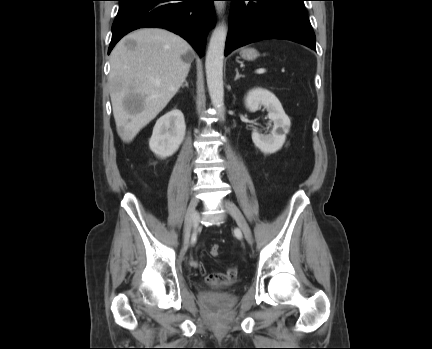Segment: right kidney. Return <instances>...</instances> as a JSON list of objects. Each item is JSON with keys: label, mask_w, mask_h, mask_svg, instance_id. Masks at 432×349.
I'll return each instance as SVG.
<instances>
[{"label": "right kidney", "mask_w": 432, "mask_h": 349, "mask_svg": "<svg viewBox=\"0 0 432 349\" xmlns=\"http://www.w3.org/2000/svg\"><path fill=\"white\" fill-rule=\"evenodd\" d=\"M186 125L183 113L178 109L160 117L149 141L151 151L160 158L172 156L184 140Z\"/></svg>", "instance_id": "ca27d5eb"}]
</instances>
